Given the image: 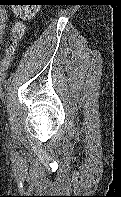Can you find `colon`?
<instances>
[{
    "label": "colon",
    "mask_w": 121,
    "mask_h": 197,
    "mask_svg": "<svg viewBox=\"0 0 121 197\" xmlns=\"http://www.w3.org/2000/svg\"><path fill=\"white\" fill-rule=\"evenodd\" d=\"M36 0H14L12 4L13 12L17 18V22L11 29V37L7 43L5 50V59L3 64L9 65L11 57L15 54L19 41L25 33L24 21L31 19L37 10Z\"/></svg>",
    "instance_id": "colon-1"
}]
</instances>
